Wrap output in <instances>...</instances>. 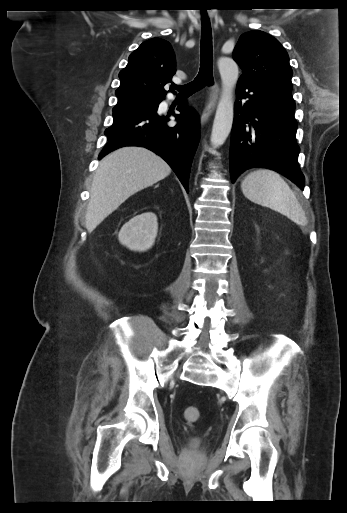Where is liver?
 <instances>
[{
  "label": "liver",
  "mask_w": 347,
  "mask_h": 513,
  "mask_svg": "<svg viewBox=\"0 0 347 513\" xmlns=\"http://www.w3.org/2000/svg\"><path fill=\"white\" fill-rule=\"evenodd\" d=\"M171 173L169 165L152 151L139 147L119 148L105 156L95 172L86 214L92 232L125 200Z\"/></svg>",
  "instance_id": "obj_1"
}]
</instances>
